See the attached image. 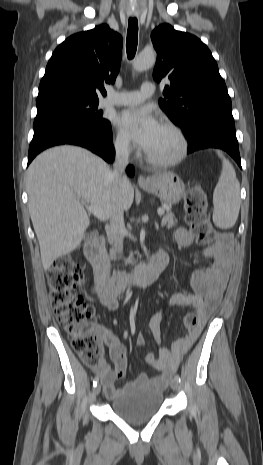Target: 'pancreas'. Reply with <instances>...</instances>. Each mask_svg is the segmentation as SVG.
Listing matches in <instances>:
<instances>
[{"label":"pancreas","mask_w":263,"mask_h":465,"mask_svg":"<svg viewBox=\"0 0 263 465\" xmlns=\"http://www.w3.org/2000/svg\"><path fill=\"white\" fill-rule=\"evenodd\" d=\"M176 225V219L173 213L168 212L165 216L162 218V226H166L167 228L174 227ZM110 257L111 259H115V253L114 250L110 251ZM132 262V257L130 256L128 259H126V264Z\"/></svg>","instance_id":"1"}]
</instances>
